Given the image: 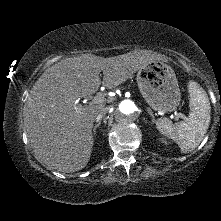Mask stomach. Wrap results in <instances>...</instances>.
I'll list each match as a JSON object with an SVG mask.
<instances>
[{
    "mask_svg": "<svg viewBox=\"0 0 221 221\" xmlns=\"http://www.w3.org/2000/svg\"><path fill=\"white\" fill-rule=\"evenodd\" d=\"M137 84L146 102L162 112L174 111L181 100L173 68L164 61H153L139 69Z\"/></svg>",
    "mask_w": 221,
    "mask_h": 221,
    "instance_id": "1",
    "label": "stomach"
}]
</instances>
